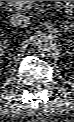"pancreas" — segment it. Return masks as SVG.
<instances>
[{
    "mask_svg": "<svg viewBox=\"0 0 74 122\" xmlns=\"http://www.w3.org/2000/svg\"><path fill=\"white\" fill-rule=\"evenodd\" d=\"M11 4L18 10H29L34 7L35 1H10ZM70 13V9H67Z\"/></svg>",
    "mask_w": 74,
    "mask_h": 122,
    "instance_id": "pancreas-1",
    "label": "pancreas"
}]
</instances>
